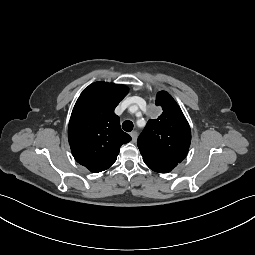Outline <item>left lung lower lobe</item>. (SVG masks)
<instances>
[{"label": "left lung lower lobe", "instance_id": "0a47b994", "mask_svg": "<svg viewBox=\"0 0 255 255\" xmlns=\"http://www.w3.org/2000/svg\"><path fill=\"white\" fill-rule=\"evenodd\" d=\"M157 172V171H156ZM159 173H167V172H159Z\"/></svg>", "mask_w": 255, "mask_h": 255}]
</instances>
